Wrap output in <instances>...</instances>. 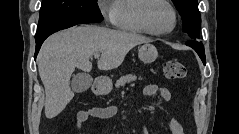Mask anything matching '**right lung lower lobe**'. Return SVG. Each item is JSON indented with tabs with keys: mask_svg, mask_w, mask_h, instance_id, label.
Segmentation results:
<instances>
[{
	"mask_svg": "<svg viewBox=\"0 0 239 134\" xmlns=\"http://www.w3.org/2000/svg\"><path fill=\"white\" fill-rule=\"evenodd\" d=\"M85 23H88V22H85V21H73V22H69V23H64L62 25H59V26H56L52 29H50L48 32H46L45 34L39 36V37H35V40H36V51H35V58L39 52V49L42 45V43L44 42V40L49 36L51 35L52 33L54 32H57L59 30H62V29H66V28H69V27H72L76 24H85Z\"/></svg>",
	"mask_w": 239,
	"mask_h": 134,
	"instance_id": "right-lung-lower-lobe-1",
	"label": "right lung lower lobe"
}]
</instances>
